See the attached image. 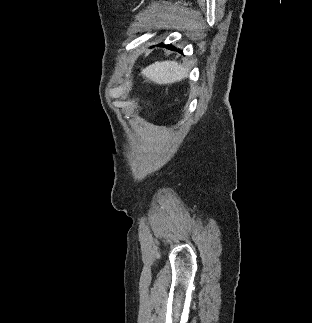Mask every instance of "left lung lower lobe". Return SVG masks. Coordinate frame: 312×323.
Wrapping results in <instances>:
<instances>
[{"label": "left lung lower lobe", "mask_w": 312, "mask_h": 323, "mask_svg": "<svg viewBox=\"0 0 312 323\" xmlns=\"http://www.w3.org/2000/svg\"><path fill=\"white\" fill-rule=\"evenodd\" d=\"M167 48H170L171 50H176V51H178V52H181L180 50H178V49H176V48H174V47H172V46H166Z\"/></svg>", "instance_id": "1"}]
</instances>
